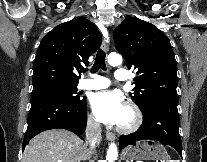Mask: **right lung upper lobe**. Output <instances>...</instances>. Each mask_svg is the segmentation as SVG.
Returning a JSON list of instances; mask_svg holds the SVG:
<instances>
[{"mask_svg":"<svg viewBox=\"0 0 207 162\" xmlns=\"http://www.w3.org/2000/svg\"><path fill=\"white\" fill-rule=\"evenodd\" d=\"M97 27L85 18L73 19L51 30L42 39L33 64L32 84L77 85L81 63L101 45Z\"/></svg>","mask_w":207,"mask_h":162,"instance_id":"right-lung-upper-lobe-1","label":"right lung upper lobe"}]
</instances>
